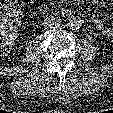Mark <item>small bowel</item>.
<instances>
[{"label": "small bowel", "instance_id": "1", "mask_svg": "<svg viewBox=\"0 0 113 113\" xmlns=\"http://www.w3.org/2000/svg\"><path fill=\"white\" fill-rule=\"evenodd\" d=\"M92 21L95 27L100 32H102L104 35H107L109 37H113V24L112 25L107 24L99 17H94Z\"/></svg>", "mask_w": 113, "mask_h": 113}]
</instances>
